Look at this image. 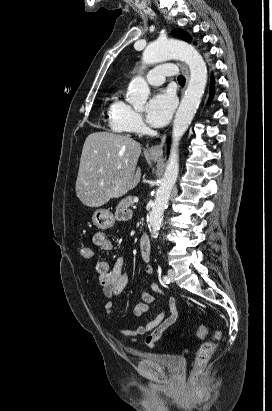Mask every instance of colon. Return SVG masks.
<instances>
[{
	"instance_id": "colon-1",
	"label": "colon",
	"mask_w": 272,
	"mask_h": 411,
	"mask_svg": "<svg viewBox=\"0 0 272 411\" xmlns=\"http://www.w3.org/2000/svg\"><path fill=\"white\" fill-rule=\"evenodd\" d=\"M80 253L84 258H91L93 255V251L90 246L83 245L80 248ZM207 334V327L206 325H200L197 329V335L200 338L205 337ZM223 336V331L218 330L213 335L212 339L209 341L204 342L196 355L193 369L190 375V384L194 387L200 386V377L203 370L208 365L210 358L217 346V343L221 340Z\"/></svg>"
}]
</instances>
